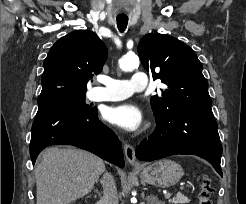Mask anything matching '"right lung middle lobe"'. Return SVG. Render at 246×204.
Instances as JSON below:
<instances>
[{
	"mask_svg": "<svg viewBox=\"0 0 246 204\" xmlns=\"http://www.w3.org/2000/svg\"><path fill=\"white\" fill-rule=\"evenodd\" d=\"M60 100V101H68V102H75L79 103L80 108L83 110H92L94 107H91L90 105H87L85 103V92L84 93H68V94H62L60 96L54 97L50 100ZM45 102V101H44ZM41 103V102H38Z\"/></svg>",
	"mask_w": 246,
	"mask_h": 204,
	"instance_id": "dd1d6c3e",
	"label": "right lung middle lobe"
}]
</instances>
